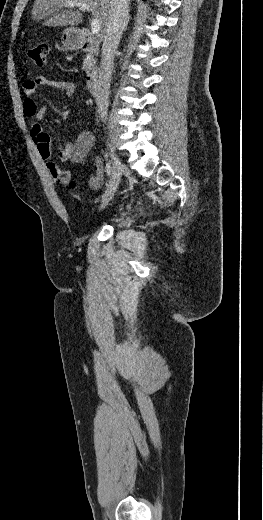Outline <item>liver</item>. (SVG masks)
<instances>
[{
	"label": "liver",
	"mask_w": 263,
	"mask_h": 520,
	"mask_svg": "<svg viewBox=\"0 0 263 520\" xmlns=\"http://www.w3.org/2000/svg\"><path fill=\"white\" fill-rule=\"evenodd\" d=\"M68 2H80L90 6L92 15L101 23V36L104 37L113 9L112 0H35L31 12L32 19L39 21L49 17L44 21V25L51 27H73L81 24L85 10L77 6L69 7Z\"/></svg>",
	"instance_id": "liver-1"
}]
</instances>
